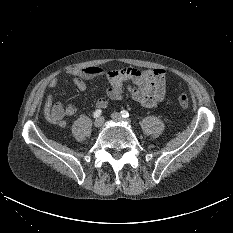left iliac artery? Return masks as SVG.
I'll use <instances>...</instances> for the list:
<instances>
[{"mask_svg":"<svg viewBox=\"0 0 233 233\" xmlns=\"http://www.w3.org/2000/svg\"><path fill=\"white\" fill-rule=\"evenodd\" d=\"M121 115H122V117H124V118L129 117V113H128L126 110H122V111H121Z\"/></svg>","mask_w":233,"mask_h":233,"instance_id":"1","label":"left iliac artery"}]
</instances>
